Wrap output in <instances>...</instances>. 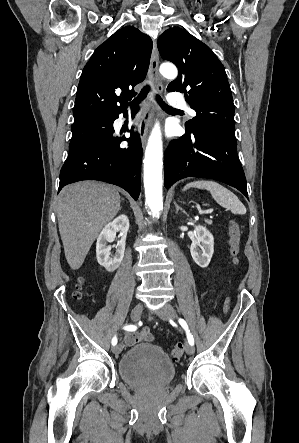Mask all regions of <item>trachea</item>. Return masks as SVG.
Wrapping results in <instances>:
<instances>
[{
    "label": "trachea",
    "mask_w": 299,
    "mask_h": 443,
    "mask_svg": "<svg viewBox=\"0 0 299 443\" xmlns=\"http://www.w3.org/2000/svg\"><path fill=\"white\" fill-rule=\"evenodd\" d=\"M149 91H150V86H149V85L145 86V87L141 90L139 96L131 102V104H130L131 107H135L136 105H138V104H139V103H140V102H141V101L147 96V94L149 93ZM156 100H157V102L159 103V105H160L164 110H176V109L170 107L169 105H167V104L162 100V98H161L160 96H157V97H156Z\"/></svg>",
    "instance_id": "1"
}]
</instances>
